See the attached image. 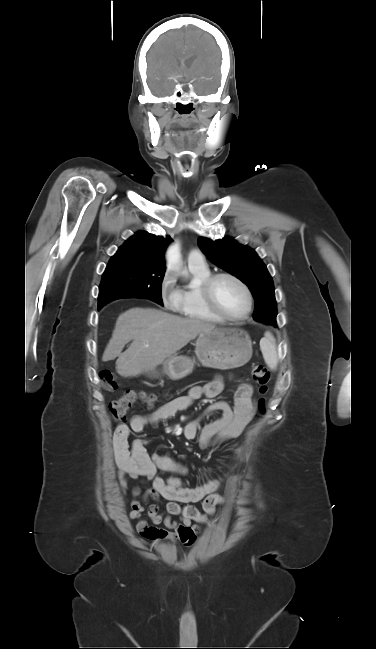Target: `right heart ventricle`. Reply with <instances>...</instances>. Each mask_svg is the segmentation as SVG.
Returning <instances> with one entry per match:
<instances>
[{
  "label": "right heart ventricle",
  "instance_id": "obj_1",
  "mask_svg": "<svg viewBox=\"0 0 376 649\" xmlns=\"http://www.w3.org/2000/svg\"><path fill=\"white\" fill-rule=\"evenodd\" d=\"M188 269L190 277L178 288L180 300L175 310L189 319L222 322L220 317L208 309L202 297V283L211 275L210 269L206 264H189Z\"/></svg>",
  "mask_w": 376,
  "mask_h": 649
}]
</instances>
